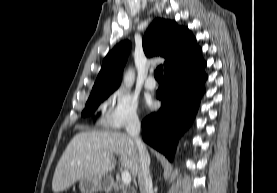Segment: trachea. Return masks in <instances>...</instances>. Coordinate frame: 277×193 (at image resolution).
Wrapping results in <instances>:
<instances>
[{
  "instance_id": "1",
  "label": "trachea",
  "mask_w": 277,
  "mask_h": 193,
  "mask_svg": "<svg viewBox=\"0 0 277 193\" xmlns=\"http://www.w3.org/2000/svg\"><path fill=\"white\" fill-rule=\"evenodd\" d=\"M154 77L156 80L161 81L163 79V66L160 65L154 72Z\"/></svg>"
}]
</instances>
